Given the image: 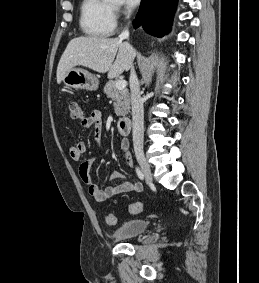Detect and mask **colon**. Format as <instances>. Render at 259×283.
<instances>
[{
	"label": "colon",
	"mask_w": 259,
	"mask_h": 283,
	"mask_svg": "<svg viewBox=\"0 0 259 283\" xmlns=\"http://www.w3.org/2000/svg\"><path fill=\"white\" fill-rule=\"evenodd\" d=\"M69 111H70V115L72 119L79 120V121H82L84 119L83 110L77 102L73 101L69 103ZM142 210H143V205L139 202L131 203L128 206V211L131 214H138L142 212ZM106 223L110 226H113L116 224V218L114 214L109 213L106 215Z\"/></svg>",
	"instance_id": "colon-1"
}]
</instances>
